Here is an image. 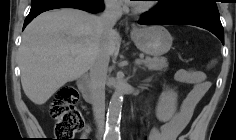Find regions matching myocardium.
I'll return each mask as SVG.
<instances>
[{
  "label": "myocardium",
  "mask_w": 236,
  "mask_h": 140,
  "mask_svg": "<svg viewBox=\"0 0 236 140\" xmlns=\"http://www.w3.org/2000/svg\"><path fill=\"white\" fill-rule=\"evenodd\" d=\"M153 7H154V4L152 2H146V3L136 4L134 6V10L136 12L142 13V12L149 11Z\"/></svg>",
  "instance_id": "f54148a6"
}]
</instances>
